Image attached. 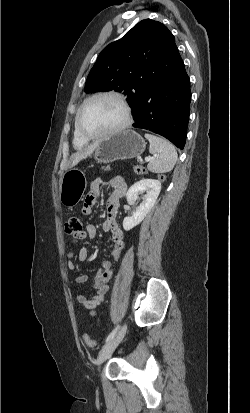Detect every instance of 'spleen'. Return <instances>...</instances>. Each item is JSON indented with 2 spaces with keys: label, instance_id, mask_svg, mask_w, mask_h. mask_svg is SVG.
Instances as JSON below:
<instances>
[{
  "label": "spleen",
  "instance_id": "obj_1",
  "mask_svg": "<svg viewBox=\"0 0 250 413\" xmlns=\"http://www.w3.org/2000/svg\"><path fill=\"white\" fill-rule=\"evenodd\" d=\"M149 141V152L154 158L148 164V170L154 173H166L173 169L177 162L175 147L166 139L151 134H145Z\"/></svg>",
  "mask_w": 250,
  "mask_h": 413
}]
</instances>
